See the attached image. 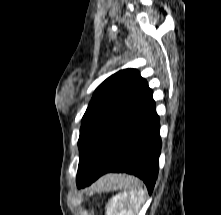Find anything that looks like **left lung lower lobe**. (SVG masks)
<instances>
[{"label": "left lung lower lobe", "instance_id": "obj_1", "mask_svg": "<svg viewBox=\"0 0 221 215\" xmlns=\"http://www.w3.org/2000/svg\"><path fill=\"white\" fill-rule=\"evenodd\" d=\"M161 152L160 122L152 90L142 94L113 122L95 160L83 179L84 188L109 172H125L142 179L151 194L158 176Z\"/></svg>", "mask_w": 221, "mask_h": 215}]
</instances>
